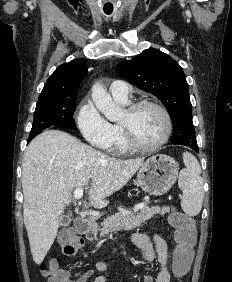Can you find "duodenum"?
I'll return each instance as SVG.
<instances>
[{
	"instance_id": "duodenum-1",
	"label": "duodenum",
	"mask_w": 232,
	"mask_h": 282,
	"mask_svg": "<svg viewBox=\"0 0 232 282\" xmlns=\"http://www.w3.org/2000/svg\"><path fill=\"white\" fill-rule=\"evenodd\" d=\"M74 226L79 234H86L90 230V222L84 216L77 217Z\"/></svg>"
}]
</instances>
